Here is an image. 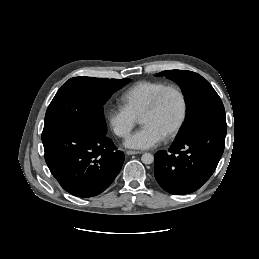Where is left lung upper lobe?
<instances>
[{"label":"left lung upper lobe","mask_w":259,"mask_h":259,"mask_svg":"<svg viewBox=\"0 0 259 259\" xmlns=\"http://www.w3.org/2000/svg\"><path fill=\"white\" fill-rule=\"evenodd\" d=\"M162 75L179 84L187 102V118L175 140L184 138L203 126L227 127L223 103L206 79L186 70L163 71L157 74Z\"/></svg>","instance_id":"5c2ea615"}]
</instances>
